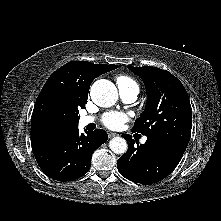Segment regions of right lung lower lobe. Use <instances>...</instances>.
<instances>
[{
	"mask_svg": "<svg viewBox=\"0 0 221 221\" xmlns=\"http://www.w3.org/2000/svg\"><path fill=\"white\" fill-rule=\"evenodd\" d=\"M102 129L79 134L74 128L49 143L33 148L38 165L45 175L58 181H69L85 175L91 166L93 152L107 141Z\"/></svg>",
	"mask_w": 221,
	"mask_h": 221,
	"instance_id": "1",
	"label": "right lung lower lobe"
}]
</instances>
